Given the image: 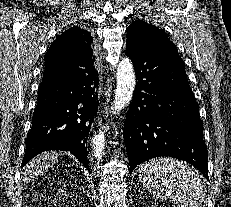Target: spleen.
Instances as JSON below:
<instances>
[{"label":"spleen","mask_w":231,"mask_h":207,"mask_svg":"<svg viewBox=\"0 0 231 207\" xmlns=\"http://www.w3.org/2000/svg\"><path fill=\"white\" fill-rule=\"evenodd\" d=\"M139 179L158 198H168L179 207H198L204 200V187L186 163L158 158L142 164Z\"/></svg>","instance_id":"1"}]
</instances>
